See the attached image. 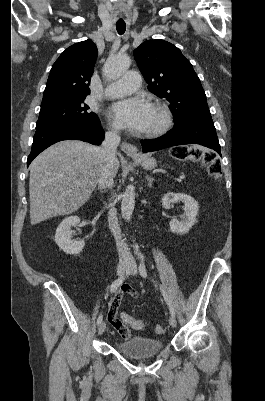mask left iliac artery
<instances>
[{
    "label": "left iliac artery",
    "instance_id": "left-iliac-artery-1",
    "mask_svg": "<svg viewBox=\"0 0 265 401\" xmlns=\"http://www.w3.org/2000/svg\"><path fill=\"white\" fill-rule=\"evenodd\" d=\"M140 259H141V263H140V266H139V272H140V275L142 277H146L147 276V272H146L143 256H140ZM160 289H161V292L163 294V297H164L167 305L169 306V310H170L171 315L175 316V310H174V308L172 306V303H171L166 291L164 290V288L162 286H160Z\"/></svg>",
    "mask_w": 265,
    "mask_h": 401
}]
</instances>
